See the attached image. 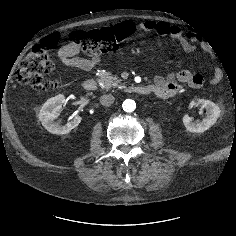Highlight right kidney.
I'll return each mask as SVG.
<instances>
[{
	"instance_id": "obj_1",
	"label": "right kidney",
	"mask_w": 236,
	"mask_h": 236,
	"mask_svg": "<svg viewBox=\"0 0 236 236\" xmlns=\"http://www.w3.org/2000/svg\"><path fill=\"white\" fill-rule=\"evenodd\" d=\"M64 102V95L59 94L53 98L48 99L40 110L39 120L45 129L52 134H67L72 129L77 127L81 122L82 118L79 115L75 116L73 120L63 126L54 122V119L60 115Z\"/></svg>"
}]
</instances>
